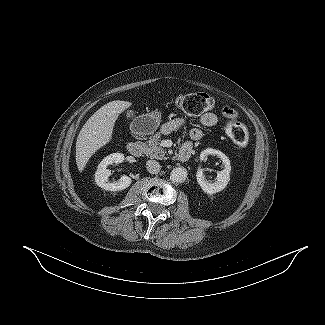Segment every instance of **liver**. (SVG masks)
Masks as SVG:
<instances>
[{"label": "liver", "instance_id": "obj_1", "mask_svg": "<svg viewBox=\"0 0 325 325\" xmlns=\"http://www.w3.org/2000/svg\"><path fill=\"white\" fill-rule=\"evenodd\" d=\"M131 105L128 101H111L86 121L76 141V164L80 172L84 170L91 156L109 143L116 120Z\"/></svg>", "mask_w": 325, "mask_h": 325}]
</instances>
